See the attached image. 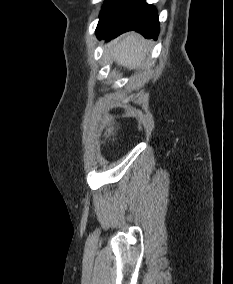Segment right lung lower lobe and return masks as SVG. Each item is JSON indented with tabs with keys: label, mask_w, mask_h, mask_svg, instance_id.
<instances>
[{
	"label": "right lung lower lobe",
	"mask_w": 233,
	"mask_h": 284,
	"mask_svg": "<svg viewBox=\"0 0 233 284\" xmlns=\"http://www.w3.org/2000/svg\"><path fill=\"white\" fill-rule=\"evenodd\" d=\"M130 30L145 38L157 39L158 15L145 0H114L100 15L96 34L98 38L110 40Z\"/></svg>",
	"instance_id": "98d812e1"
}]
</instances>
